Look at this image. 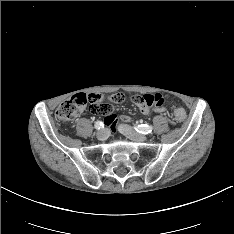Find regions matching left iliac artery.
Instances as JSON below:
<instances>
[{
	"instance_id": "left-iliac-artery-1",
	"label": "left iliac artery",
	"mask_w": 234,
	"mask_h": 234,
	"mask_svg": "<svg viewBox=\"0 0 234 234\" xmlns=\"http://www.w3.org/2000/svg\"><path fill=\"white\" fill-rule=\"evenodd\" d=\"M135 129L139 133L148 134V133H151V131L153 130V127L151 125L141 124V125H137Z\"/></svg>"
}]
</instances>
